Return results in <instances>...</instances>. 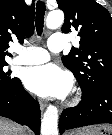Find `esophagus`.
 <instances>
[{"instance_id":"esophagus-1","label":"esophagus","mask_w":112,"mask_h":135,"mask_svg":"<svg viewBox=\"0 0 112 135\" xmlns=\"http://www.w3.org/2000/svg\"><path fill=\"white\" fill-rule=\"evenodd\" d=\"M39 105H40L41 111H43V110L45 109V107H46V103L43 102V101H40V102H39Z\"/></svg>"}]
</instances>
